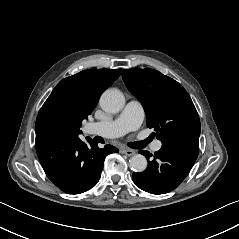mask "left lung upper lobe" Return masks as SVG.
<instances>
[{
    "label": "left lung upper lobe",
    "mask_w": 239,
    "mask_h": 239,
    "mask_svg": "<svg viewBox=\"0 0 239 239\" xmlns=\"http://www.w3.org/2000/svg\"><path fill=\"white\" fill-rule=\"evenodd\" d=\"M123 80L142 103L147 126L162 143L198 140L201 130L196 108L187 91L174 79L153 69H125Z\"/></svg>",
    "instance_id": "1"
}]
</instances>
